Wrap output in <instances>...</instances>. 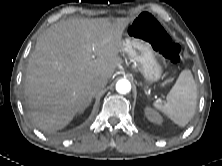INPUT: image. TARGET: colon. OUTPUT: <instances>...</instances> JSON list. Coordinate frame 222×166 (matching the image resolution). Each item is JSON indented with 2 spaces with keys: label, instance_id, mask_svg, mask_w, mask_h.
I'll return each instance as SVG.
<instances>
[{
  "label": "colon",
  "instance_id": "1",
  "mask_svg": "<svg viewBox=\"0 0 222 166\" xmlns=\"http://www.w3.org/2000/svg\"><path fill=\"white\" fill-rule=\"evenodd\" d=\"M128 32L132 37L149 43L172 64L176 65L181 62L180 46L152 14H140L130 25Z\"/></svg>",
  "mask_w": 222,
  "mask_h": 166
}]
</instances>
